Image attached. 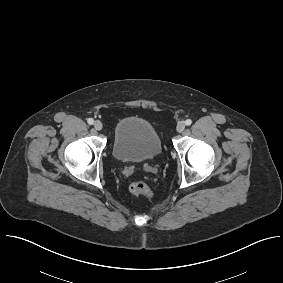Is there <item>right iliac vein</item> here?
<instances>
[{"label":"right iliac vein","mask_w":283,"mask_h":283,"mask_svg":"<svg viewBox=\"0 0 283 283\" xmlns=\"http://www.w3.org/2000/svg\"><path fill=\"white\" fill-rule=\"evenodd\" d=\"M94 128L98 131L102 130L103 125H102L101 121H99V120L95 121L94 122Z\"/></svg>","instance_id":"right-iliac-vein-1"}]
</instances>
